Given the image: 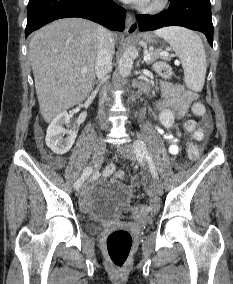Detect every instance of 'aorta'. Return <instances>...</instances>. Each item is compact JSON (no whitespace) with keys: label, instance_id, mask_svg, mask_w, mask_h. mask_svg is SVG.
Masks as SVG:
<instances>
[{"label":"aorta","instance_id":"obj_1","mask_svg":"<svg viewBox=\"0 0 233 284\" xmlns=\"http://www.w3.org/2000/svg\"><path fill=\"white\" fill-rule=\"evenodd\" d=\"M136 55L137 51L135 47H129L125 50L118 64V70L121 76L128 77L130 75Z\"/></svg>","mask_w":233,"mask_h":284}]
</instances>
